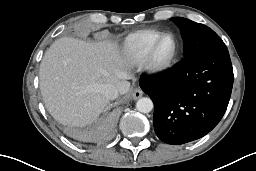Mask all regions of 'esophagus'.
I'll return each instance as SVG.
<instances>
[{
  "mask_svg": "<svg viewBox=\"0 0 256 171\" xmlns=\"http://www.w3.org/2000/svg\"><path fill=\"white\" fill-rule=\"evenodd\" d=\"M143 95V91L140 89V88H135L133 91H132V98L134 100H137L139 99L140 97H142Z\"/></svg>",
  "mask_w": 256,
  "mask_h": 171,
  "instance_id": "1",
  "label": "esophagus"
}]
</instances>
